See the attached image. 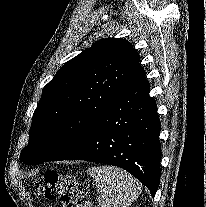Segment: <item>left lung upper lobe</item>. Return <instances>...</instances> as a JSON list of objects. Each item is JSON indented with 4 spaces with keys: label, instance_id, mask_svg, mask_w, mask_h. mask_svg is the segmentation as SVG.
<instances>
[{
    "label": "left lung upper lobe",
    "instance_id": "obj_1",
    "mask_svg": "<svg viewBox=\"0 0 206 207\" xmlns=\"http://www.w3.org/2000/svg\"><path fill=\"white\" fill-rule=\"evenodd\" d=\"M139 61L127 40L105 38L65 63L43 89L21 161L62 160L80 148L104 112L144 71Z\"/></svg>",
    "mask_w": 206,
    "mask_h": 207
}]
</instances>
